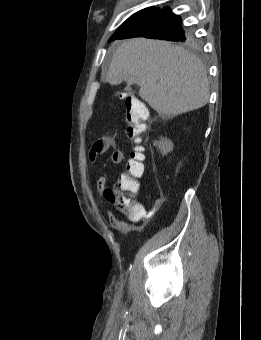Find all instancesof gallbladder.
<instances>
[{"label": "gallbladder", "instance_id": "bac80fb5", "mask_svg": "<svg viewBox=\"0 0 261 340\" xmlns=\"http://www.w3.org/2000/svg\"><path fill=\"white\" fill-rule=\"evenodd\" d=\"M135 83H136V80L128 81V84H129V85L135 84Z\"/></svg>", "mask_w": 261, "mask_h": 340}]
</instances>
